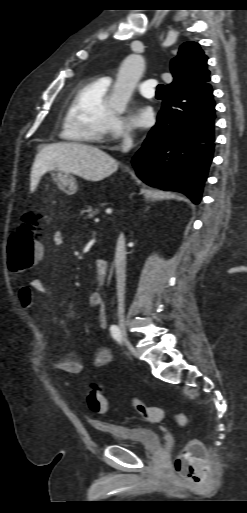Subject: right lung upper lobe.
Here are the masks:
<instances>
[{"instance_id": "cb5924a9", "label": "right lung upper lobe", "mask_w": 247, "mask_h": 513, "mask_svg": "<svg viewBox=\"0 0 247 513\" xmlns=\"http://www.w3.org/2000/svg\"><path fill=\"white\" fill-rule=\"evenodd\" d=\"M207 60L208 57L196 42L189 41L181 45L177 57L171 60L170 69L174 80L166 91L196 92L205 88L210 80Z\"/></svg>"}]
</instances>
